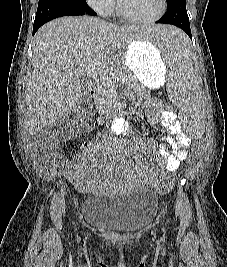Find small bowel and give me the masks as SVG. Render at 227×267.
<instances>
[{
    "label": "small bowel",
    "mask_w": 227,
    "mask_h": 267,
    "mask_svg": "<svg viewBox=\"0 0 227 267\" xmlns=\"http://www.w3.org/2000/svg\"><path fill=\"white\" fill-rule=\"evenodd\" d=\"M147 120L152 124L164 127L167 131L162 138V144L156 145L152 141H147V146L154 152L155 160L159 163L162 171L163 169H176L178 161H181L183 155H186V148L191 145L192 139L184 137L182 125L178 121L176 113H166L158 99L147 100ZM101 121L99 120V123ZM111 128L115 134L124 136L128 133V121L123 117H117L112 121ZM59 169L81 188H85L91 179L89 167L81 162H69L61 159Z\"/></svg>",
    "instance_id": "1"
}]
</instances>
